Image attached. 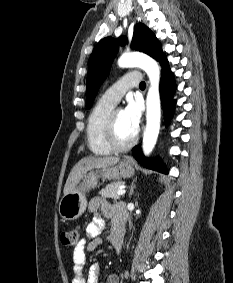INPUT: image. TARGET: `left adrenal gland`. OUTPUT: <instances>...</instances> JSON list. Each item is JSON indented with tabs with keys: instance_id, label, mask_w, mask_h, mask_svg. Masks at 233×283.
<instances>
[{
	"instance_id": "left-adrenal-gland-1",
	"label": "left adrenal gland",
	"mask_w": 233,
	"mask_h": 283,
	"mask_svg": "<svg viewBox=\"0 0 233 283\" xmlns=\"http://www.w3.org/2000/svg\"><path fill=\"white\" fill-rule=\"evenodd\" d=\"M134 187H135V186H132V187H131L130 195H132V194H133V189H134Z\"/></svg>"
}]
</instances>
